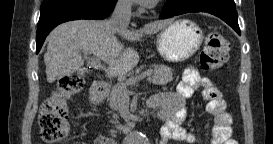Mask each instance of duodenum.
Instances as JSON below:
<instances>
[{
    "label": "duodenum",
    "instance_id": "obj_1",
    "mask_svg": "<svg viewBox=\"0 0 273 144\" xmlns=\"http://www.w3.org/2000/svg\"><path fill=\"white\" fill-rule=\"evenodd\" d=\"M106 91V87L101 82H95L92 87V95L95 97H101ZM168 106V100L165 94H156L149 98L147 107L154 112H157L156 118L163 119L162 110Z\"/></svg>",
    "mask_w": 273,
    "mask_h": 144
}]
</instances>
